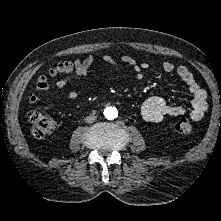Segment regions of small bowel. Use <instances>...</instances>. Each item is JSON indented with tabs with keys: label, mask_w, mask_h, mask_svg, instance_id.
<instances>
[{
	"label": "small bowel",
	"mask_w": 221,
	"mask_h": 221,
	"mask_svg": "<svg viewBox=\"0 0 221 221\" xmlns=\"http://www.w3.org/2000/svg\"><path fill=\"white\" fill-rule=\"evenodd\" d=\"M102 60L113 66H117L115 59L110 55H104ZM122 60L126 62L135 72V76L138 79L143 78V71L149 68L147 62H138L131 56H122ZM94 62L93 56H87L82 60L75 61H63L55 65L51 71L54 74L65 73L66 75L60 78L56 82V88L62 90L65 88L67 83L72 79L84 78L88 75V70ZM162 69L167 73L176 72L179 78L187 85L189 92L192 95V103L190 109V116L193 120L198 121L203 116L207 110V93L206 91L197 83L194 75L187 66L180 65L175 66L171 61H163L161 63ZM49 88V84L45 79V76L38 77L36 81V90L28 98L30 103H35L39 99V95ZM69 98L71 100H76L79 98V93L77 91H71L69 93ZM185 109L180 106H173L168 104L162 97L152 96L148 98L141 107L142 116L151 122H159L166 116H180L185 113Z\"/></svg>",
	"instance_id": "1"
}]
</instances>
